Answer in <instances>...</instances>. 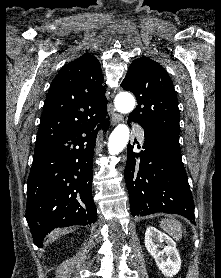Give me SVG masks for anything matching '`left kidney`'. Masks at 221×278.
<instances>
[{
    "mask_svg": "<svg viewBox=\"0 0 221 278\" xmlns=\"http://www.w3.org/2000/svg\"><path fill=\"white\" fill-rule=\"evenodd\" d=\"M145 247L165 276L172 277L179 272L181 259L176 243L167 234L155 227H148L145 232ZM161 247L162 250L159 249Z\"/></svg>",
    "mask_w": 221,
    "mask_h": 278,
    "instance_id": "1",
    "label": "left kidney"
}]
</instances>
